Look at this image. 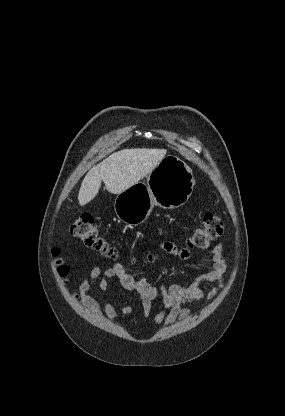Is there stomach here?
<instances>
[{
    "mask_svg": "<svg viewBox=\"0 0 285 416\" xmlns=\"http://www.w3.org/2000/svg\"><path fill=\"white\" fill-rule=\"evenodd\" d=\"M195 186L192 170L177 158L165 156L150 172L146 182H138L118 194L114 202L117 218L138 226L150 216L154 206L174 210L189 200Z\"/></svg>",
    "mask_w": 285,
    "mask_h": 416,
    "instance_id": "obj_1",
    "label": "stomach"
}]
</instances>
